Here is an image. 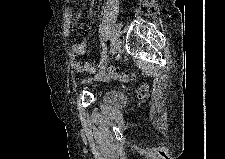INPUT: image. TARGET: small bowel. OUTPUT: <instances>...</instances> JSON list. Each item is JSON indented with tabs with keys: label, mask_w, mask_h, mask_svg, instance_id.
Instances as JSON below:
<instances>
[{
	"label": "small bowel",
	"mask_w": 225,
	"mask_h": 159,
	"mask_svg": "<svg viewBox=\"0 0 225 159\" xmlns=\"http://www.w3.org/2000/svg\"><path fill=\"white\" fill-rule=\"evenodd\" d=\"M87 51V42L86 41H80L76 42L73 45V48L69 54L70 62L73 68L80 70L81 67L77 61V58L80 56H84Z\"/></svg>",
	"instance_id": "1"
}]
</instances>
